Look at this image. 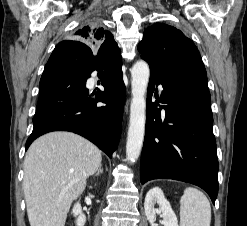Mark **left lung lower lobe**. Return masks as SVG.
<instances>
[{"instance_id":"0a47b994","label":"left lung lower lobe","mask_w":247,"mask_h":226,"mask_svg":"<svg viewBox=\"0 0 247 226\" xmlns=\"http://www.w3.org/2000/svg\"><path fill=\"white\" fill-rule=\"evenodd\" d=\"M155 84L164 90L153 103V95L158 99ZM152 179L192 183L204 189L215 204L218 159L206 73L186 70L166 75L150 69L141 183Z\"/></svg>"}]
</instances>
